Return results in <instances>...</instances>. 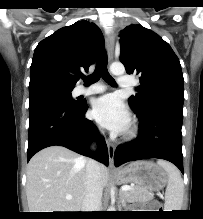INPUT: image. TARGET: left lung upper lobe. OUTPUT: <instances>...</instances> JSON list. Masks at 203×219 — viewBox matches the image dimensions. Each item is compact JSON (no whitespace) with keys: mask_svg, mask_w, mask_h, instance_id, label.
I'll use <instances>...</instances> for the list:
<instances>
[{"mask_svg":"<svg viewBox=\"0 0 203 219\" xmlns=\"http://www.w3.org/2000/svg\"><path fill=\"white\" fill-rule=\"evenodd\" d=\"M120 60L127 74L138 75V93L128 100L138 114L158 105L184 103V79L178 57L159 35L139 24L120 33Z\"/></svg>","mask_w":203,"mask_h":219,"instance_id":"5c2ea615","label":"left lung upper lobe"}]
</instances>
